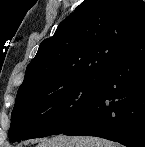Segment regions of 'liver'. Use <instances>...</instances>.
Masks as SVG:
<instances>
[{"label":"liver","mask_w":145,"mask_h":147,"mask_svg":"<svg viewBox=\"0 0 145 147\" xmlns=\"http://www.w3.org/2000/svg\"><path fill=\"white\" fill-rule=\"evenodd\" d=\"M36 147H121V145L98 137L58 135L43 140Z\"/></svg>","instance_id":"6515ba94"}]
</instances>
